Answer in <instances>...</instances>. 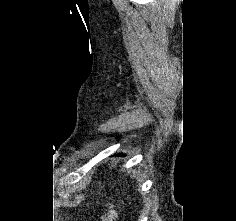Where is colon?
<instances>
[{
    "label": "colon",
    "mask_w": 236,
    "mask_h": 221,
    "mask_svg": "<svg viewBox=\"0 0 236 221\" xmlns=\"http://www.w3.org/2000/svg\"><path fill=\"white\" fill-rule=\"evenodd\" d=\"M101 221H118V213L114 205L108 204Z\"/></svg>",
    "instance_id": "1"
}]
</instances>
